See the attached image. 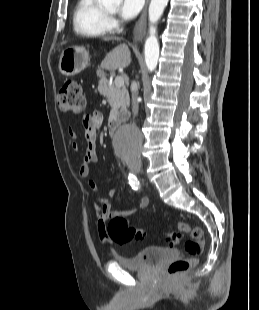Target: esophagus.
Returning <instances> with one entry per match:
<instances>
[{
    "mask_svg": "<svg viewBox=\"0 0 259 310\" xmlns=\"http://www.w3.org/2000/svg\"><path fill=\"white\" fill-rule=\"evenodd\" d=\"M149 2L150 0H146L142 14L134 27L133 35H134V41L136 42L141 41L145 35L146 17H147V9H148Z\"/></svg>",
    "mask_w": 259,
    "mask_h": 310,
    "instance_id": "obj_1",
    "label": "esophagus"
}]
</instances>
